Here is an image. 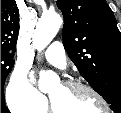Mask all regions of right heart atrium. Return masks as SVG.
Instances as JSON below:
<instances>
[{"instance_id": "obj_1", "label": "right heart atrium", "mask_w": 121, "mask_h": 113, "mask_svg": "<svg viewBox=\"0 0 121 113\" xmlns=\"http://www.w3.org/2000/svg\"><path fill=\"white\" fill-rule=\"evenodd\" d=\"M6 101L15 113H41L46 108L45 97L38 92L26 73L16 69L6 89Z\"/></svg>"}]
</instances>
